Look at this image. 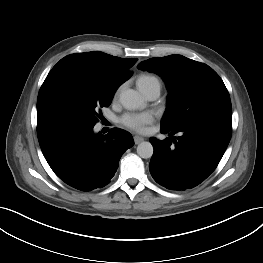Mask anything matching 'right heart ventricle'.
Listing matches in <instances>:
<instances>
[{"label":"right heart ventricle","instance_id":"obj_1","mask_svg":"<svg viewBox=\"0 0 263 263\" xmlns=\"http://www.w3.org/2000/svg\"><path fill=\"white\" fill-rule=\"evenodd\" d=\"M152 79H156V78L154 76H151V75H141L138 78V82H145V81H149V80H152Z\"/></svg>","mask_w":263,"mask_h":263}]
</instances>
